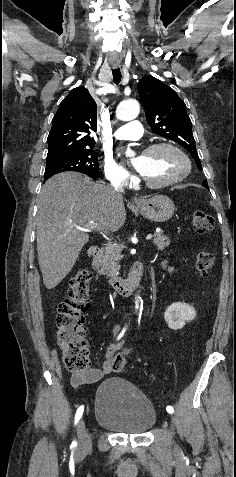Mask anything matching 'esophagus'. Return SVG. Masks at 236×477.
<instances>
[{
	"label": "esophagus",
	"mask_w": 236,
	"mask_h": 477,
	"mask_svg": "<svg viewBox=\"0 0 236 477\" xmlns=\"http://www.w3.org/2000/svg\"><path fill=\"white\" fill-rule=\"evenodd\" d=\"M112 66H113L114 68H117V67H118V64H113ZM133 202H134V204L139 205V204L141 203V200L138 199V198H134V199H133Z\"/></svg>",
	"instance_id": "esophagus-1"
}]
</instances>
